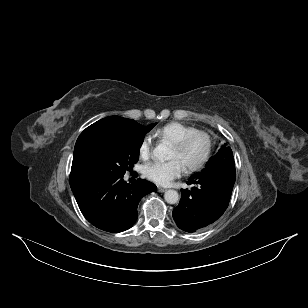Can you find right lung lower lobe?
Listing matches in <instances>:
<instances>
[{
  "label": "right lung lower lobe",
  "mask_w": 308,
  "mask_h": 308,
  "mask_svg": "<svg viewBox=\"0 0 308 308\" xmlns=\"http://www.w3.org/2000/svg\"><path fill=\"white\" fill-rule=\"evenodd\" d=\"M84 217L95 227L118 233L132 227L137 219V206L141 198L157 187L139 179L128 184L123 177L89 178L72 188Z\"/></svg>",
  "instance_id": "98d812e1"
}]
</instances>
